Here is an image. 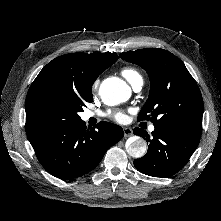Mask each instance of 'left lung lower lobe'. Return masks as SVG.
<instances>
[{
    "label": "left lung lower lobe",
    "instance_id": "obj_1",
    "mask_svg": "<svg viewBox=\"0 0 221 221\" xmlns=\"http://www.w3.org/2000/svg\"><path fill=\"white\" fill-rule=\"evenodd\" d=\"M133 133L149 143L146 155L134 160V166L141 173L153 177H169L180 171L200 141L198 136L156 126L151 137L139 128H135Z\"/></svg>",
    "mask_w": 221,
    "mask_h": 221
}]
</instances>
